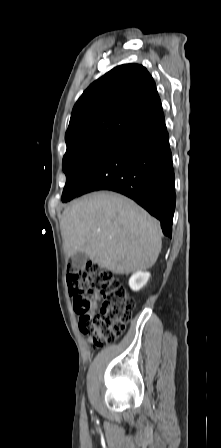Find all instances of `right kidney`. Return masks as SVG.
<instances>
[{"label": "right kidney", "instance_id": "obj_1", "mask_svg": "<svg viewBox=\"0 0 221 448\" xmlns=\"http://www.w3.org/2000/svg\"><path fill=\"white\" fill-rule=\"evenodd\" d=\"M150 277V273L138 271L134 273L129 279V286L133 291H139L142 289L148 279Z\"/></svg>", "mask_w": 221, "mask_h": 448}]
</instances>
